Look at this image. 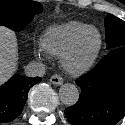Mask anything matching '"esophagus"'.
I'll return each mask as SVG.
<instances>
[{
	"instance_id": "34e87169",
	"label": "esophagus",
	"mask_w": 125,
	"mask_h": 125,
	"mask_svg": "<svg viewBox=\"0 0 125 125\" xmlns=\"http://www.w3.org/2000/svg\"><path fill=\"white\" fill-rule=\"evenodd\" d=\"M50 82L54 85L59 86L63 83V78L58 74H54L51 76Z\"/></svg>"
}]
</instances>
